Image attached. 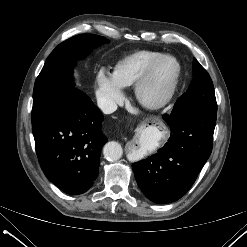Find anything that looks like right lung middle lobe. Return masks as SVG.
I'll return each mask as SVG.
<instances>
[{"label": "right lung middle lobe", "instance_id": "1", "mask_svg": "<svg viewBox=\"0 0 247 247\" xmlns=\"http://www.w3.org/2000/svg\"><path fill=\"white\" fill-rule=\"evenodd\" d=\"M106 42L102 36L81 34L59 44L47 58L33 91L32 125L40 122L74 88L73 67L93 48Z\"/></svg>", "mask_w": 247, "mask_h": 247}]
</instances>
